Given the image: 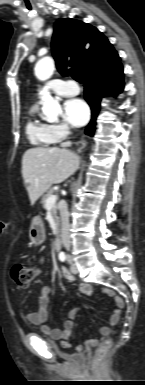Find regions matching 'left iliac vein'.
<instances>
[{"label": "left iliac vein", "mask_w": 145, "mask_h": 385, "mask_svg": "<svg viewBox=\"0 0 145 385\" xmlns=\"http://www.w3.org/2000/svg\"><path fill=\"white\" fill-rule=\"evenodd\" d=\"M68 260V263L70 264V270L73 274H77L78 273V269H77V266L75 265V263L73 262V259L72 257H68L67 258Z\"/></svg>", "instance_id": "obj_1"}]
</instances>
